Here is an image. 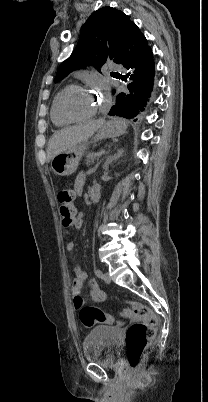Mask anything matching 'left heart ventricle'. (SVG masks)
<instances>
[{
  "label": "left heart ventricle",
  "instance_id": "left-heart-ventricle-1",
  "mask_svg": "<svg viewBox=\"0 0 208 402\" xmlns=\"http://www.w3.org/2000/svg\"><path fill=\"white\" fill-rule=\"evenodd\" d=\"M100 101L99 97L91 94L88 90H76L70 93L67 97L66 103L69 108L74 113H88L95 106L98 105Z\"/></svg>",
  "mask_w": 208,
  "mask_h": 402
}]
</instances>
